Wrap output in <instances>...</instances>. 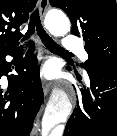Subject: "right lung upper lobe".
<instances>
[{"instance_id":"right-lung-upper-lobe-1","label":"right lung upper lobe","mask_w":117,"mask_h":136,"mask_svg":"<svg viewBox=\"0 0 117 136\" xmlns=\"http://www.w3.org/2000/svg\"><path fill=\"white\" fill-rule=\"evenodd\" d=\"M37 0H0V54L17 48L23 34L19 27L28 21Z\"/></svg>"}]
</instances>
